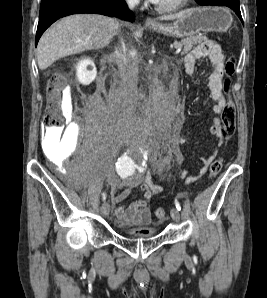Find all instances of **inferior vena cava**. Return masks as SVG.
<instances>
[{
    "instance_id": "1",
    "label": "inferior vena cava",
    "mask_w": 267,
    "mask_h": 298,
    "mask_svg": "<svg viewBox=\"0 0 267 298\" xmlns=\"http://www.w3.org/2000/svg\"><path fill=\"white\" fill-rule=\"evenodd\" d=\"M130 9H133L139 0H126ZM118 60L119 82L116 90V108L118 114L123 118L132 116L135 110L137 83H138V54L133 48H125L114 52Z\"/></svg>"
}]
</instances>
